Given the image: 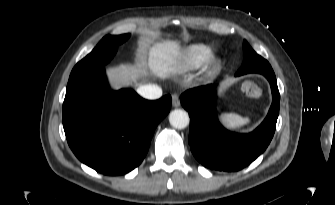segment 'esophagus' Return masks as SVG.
<instances>
[{
  "label": "esophagus",
  "mask_w": 335,
  "mask_h": 205,
  "mask_svg": "<svg viewBox=\"0 0 335 205\" xmlns=\"http://www.w3.org/2000/svg\"><path fill=\"white\" fill-rule=\"evenodd\" d=\"M172 105L173 107H179L180 106V100L177 95H172Z\"/></svg>",
  "instance_id": "obj_1"
}]
</instances>
